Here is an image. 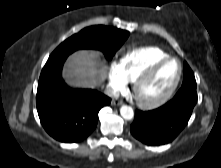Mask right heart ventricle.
<instances>
[{
	"label": "right heart ventricle",
	"mask_w": 221,
	"mask_h": 168,
	"mask_svg": "<svg viewBox=\"0 0 221 168\" xmlns=\"http://www.w3.org/2000/svg\"><path fill=\"white\" fill-rule=\"evenodd\" d=\"M169 55L158 47H142L125 53L118 67L128 82H134L153 63Z\"/></svg>",
	"instance_id": "right-heart-ventricle-1"
}]
</instances>
